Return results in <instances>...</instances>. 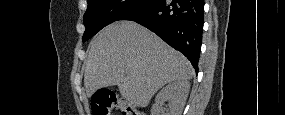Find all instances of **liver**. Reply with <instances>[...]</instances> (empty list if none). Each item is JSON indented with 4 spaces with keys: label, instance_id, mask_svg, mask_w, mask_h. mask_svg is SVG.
Wrapping results in <instances>:
<instances>
[{
    "label": "liver",
    "instance_id": "obj_1",
    "mask_svg": "<svg viewBox=\"0 0 285 115\" xmlns=\"http://www.w3.org/2000/svg\"><path fill=\"white\" fill-rule=\"evenodd\" d=\"M84 86L90 97L117 85L122 97L146 107L165 84L192 78L194 69L178 51L132 21L105 27L90 42L84 61Z\"/></svg>",
    "mask_w": 285,
    "mask_h": 115
}]
</instances>
